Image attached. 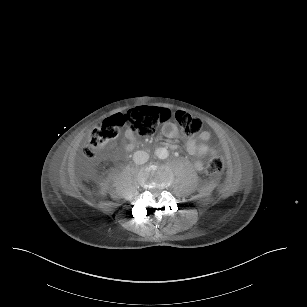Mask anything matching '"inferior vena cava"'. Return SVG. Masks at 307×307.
Wrapping results in <instances>:
<instances>
[{"mask_svg":"<svg viewBox=\"0 0 307 307\" xmlns=\"http://www.w3.org/2000/svg\"><path fill=\"white\" fill-rule=\"evenodd\" d=\"M149 160V154L145 151L139 150L134 152L133 154V161L138 164H144Z\"/></svg>","mask_w":307,"mask_h":307,"instance_id":"obj_1","label":"inferior vena cava"}]
</instances>
